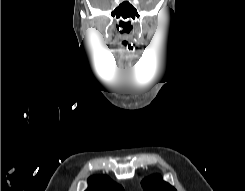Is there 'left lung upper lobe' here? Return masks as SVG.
Returning a JSON list of instances; mask_svg holds the SVG:
<instances>
[{"label":"left lung upper lobe","instance_id":"1","mask_svg":"<svg viewBox=\"0 0 245 191\" xmlns=\"http://www.w3.org/2000/svg\"><path fill=\"white\" fill-rule=\"evenodd\" d=\"M142 186L145 191H176L173 186L163 181L159 175H152L143 179Z\"/></svg>","mask_w":245,"mask_h":191}]
</instances>
